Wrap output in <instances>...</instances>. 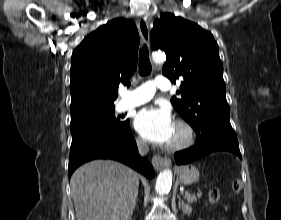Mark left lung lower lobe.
Returning <instances> with one entry per match:
<instances>
[{"label": "left lung lower lobe", "instance_id": "0a47b994", "mask_svg": "<svg viewBox=\"0 0 281 220\" xmlns=\"http://www.w3.org/2000/svg\"><path fill=\"white\" fill-rule=\"evenodd\" d=\"M196 134L197 142L193 147L175 153L174 157L178 165L187 164L217 151H228L242 158L237 136L232 127L208 126Z\"/></svg>", "mask_w": 281, "mask_h": 220}]
</instances>
